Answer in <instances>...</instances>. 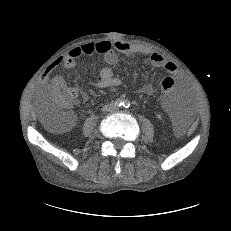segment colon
<instances>
[{
	"label": "colon",
	"instance_id": "1",
	"mask_svg": "<svg viewBox=\"0 0 231 231\" xmlns=\"http://www.w3.org/2000/svg\"><path fill=\"white\" fill-rule=\"evenodd\" d=\"M160 89L165 93L172 92L176 82L171 76H164L159 82ZM75 98L74 89L60 85L48 94V102L41 116L45 126L54 132L67 129L73 122V116L69 111Z\"/></svg>",
	"mask_w": 231,
	"mask_h": 231
}]
</instances>
